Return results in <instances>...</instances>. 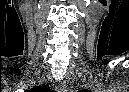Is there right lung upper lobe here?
<instances>
[{"label":"right lung upper lobe","instance_id":"cb5924a9","mask_svg":"<svg viewBox=\"0 0 129 92\" xmlns=\"http://www.w3.org/2000/svg\"><path fill=\"white\" fill-rule=\"evenodd\" d=\"M44 88H33V89H31V90H29V91H27V92H39V91H41V90H43Z\"/></svg>","mask_w":129,"mask_h":92}]
</instances>
